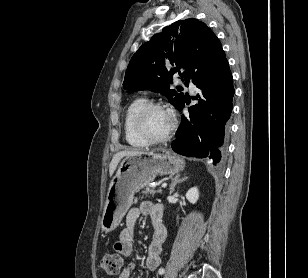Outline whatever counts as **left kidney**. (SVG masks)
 I'll return each mask as SVG.
<instances>
[{"label": "left kidney", "mask_w": 308, "mask_h": 278, "mask_svg": "<svg viewBox=\"0 0 308 278\" xmlns=\"http://www.w3.org/2000/svg\"><path fill=\"white\" fill-rule=\"evenodd\" d=\"M186 198L187 200L192 203L195 204L197 202V200L199 199V191L197 187H193L191 188L187 193H186Z\"/></svg>", "instance_id": "left-kidney-1"}]
</instances>
